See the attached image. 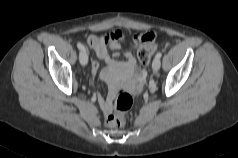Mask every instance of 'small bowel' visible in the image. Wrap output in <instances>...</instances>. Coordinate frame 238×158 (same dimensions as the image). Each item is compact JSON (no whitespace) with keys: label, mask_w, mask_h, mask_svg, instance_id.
I'll list each match as a JSON object with an SVG mask.
<instances>
[{"label":"small bowel","mask_w":238,"mask_h":158,"mask_svg":"<svg viewBox=\"0 0 238 158\" xmlns=\"http://www.w3.org/2000/svg\"><path fill=\"white\" fill-rule=\"evenodd\" d=\"M145 35H152L155 39L153 33L136 34L133 39L134 45L154 43V39L152 41L144 40L143 37ZM123 39L124 35L119 30L108 32L101 36L90 35L87 38L88 46L93 50L98 59L105 64V68L101 71L100 76L103 80L107 81L111 87L115 85L116 76L130 75L132 77L133 86H137L144 77V72L138 69L135 57L132 53L124 52L122 54L124 62L122 63L114 59L115 56L119 55L118 51ZM110 51L113 53L111 54ZM91 69L92 73L96 74L99 70V63L93 61ZM99 103L106 114L112 110L111 102L108 99L100 97Z\"/></svg>","instance_id":"1"}]
</instances>
